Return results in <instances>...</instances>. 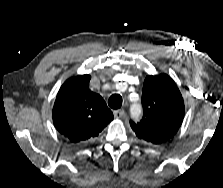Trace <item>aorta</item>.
I'll list each match as a JSON object with an SVG mask.
<instances>
[{
    "label": "aorta",
    "mask_w": 223,
    "mask_h": 188,
    "mask_svg": "<svg viewBox=\"0 0 223 188\" xmlns=\"http://www.w3.org/2000/svg\"><path fill=\"white\" fill-rule=\"evenodd\" d=\"M142 113L141 105L138 102H135L130 107V114L133 118H139Z\"/></svg>",
    "instance_id": "762f6f07"
}]
</instances>
